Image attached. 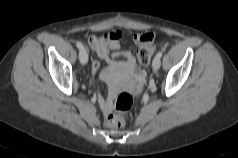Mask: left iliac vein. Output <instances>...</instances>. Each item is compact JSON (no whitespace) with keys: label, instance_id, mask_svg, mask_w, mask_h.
Returning <instances> with one entry per match:
<instances>
[{"label":"left iliac vein","instance_id":"obj_1","mask_svg":"<svg viewBox=\"0 0 238 158\" xmlns=\"http://www.w3.org/2000/svg\"><path fill=\"white\" fill-rule=\"evenodd\" d=\"M161 60L159 57H155L152 62V68L154 71H157L160 68Z\"/></svg>","mask_w":238,"mask_h":158}]
</instances>
